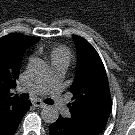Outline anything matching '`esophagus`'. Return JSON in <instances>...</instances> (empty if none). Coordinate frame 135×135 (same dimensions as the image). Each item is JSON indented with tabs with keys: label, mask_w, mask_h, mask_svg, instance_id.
<instances>
[{
	"label": "esophagus",
	"mask_w": 135,
	"mask_h": 135,
	"mask_svg": "<svg viewBox=\"0 0 135 135\" xmlns=\"http://www.w3.org/2000/svg\"><path fill=\"white\" fill-rule=\"evenodd\" d=\"M32 104L35 106V107H40V108H44L46 106L45 103H43L41 100H34L32 102Z\"/></svg>",
	"instance_id": "34e87169"
}]
</instances>
